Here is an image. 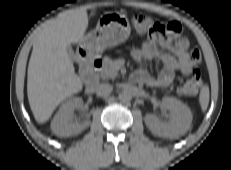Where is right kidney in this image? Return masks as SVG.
I'll use <instances>...</instances> for the list:
<instances>
[{"instance_id":"1","label":"right kidney","mask_w":231,"mask_h":170,"mask_svg":"<svg viewBox=\"0 0 231 170\" xmlns=\"http://www.w3.org/2000/svg\"><path fill=\"white\" fill-rule=\"evenodd\" d=\"M83 106L82 98H72L65 102L51 122L53 133L59 137H68L80 134L90 125L89 120L71 122L73 112Z\"/></svg>"}]
</instances>
